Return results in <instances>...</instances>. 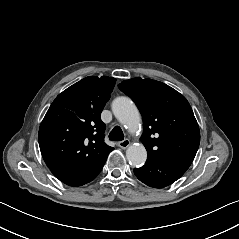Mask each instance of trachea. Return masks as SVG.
<instances>
[{"instance_id": "3493384b", "label": "trachea", "mask_w": 239, "mask_h": 239, "mask_svg": "<svg viewBox=\"0 0 239 239\" xmlns=\"http://www.w3.org/2000/svg\"><path fill=\"white\" fill-rule=\"evenodd\" d=\"M109 139L111 141H122L124 139V134L119 126H115L109 133Z\"/></svg>"}]
</instances>
